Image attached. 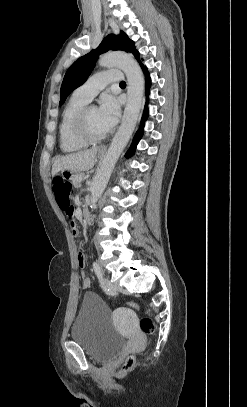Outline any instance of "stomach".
Instances as JSON below:
<instances>
[{"mask_svg": "<svg viewBox=\"0 0 247 407\" xmlns=\"http://www.w3.org/2000/svg\"><path fill=\"white\" fill-rule=\"evenodd\" d=\"M99 155H101V153H99ZM60 176L61 178H69L73 181L74 178H78L79 171L75 169L74 166H63L60 171Z\"/></svg>", "mask_w": 247, "mask_h": 407, "instance_id": "1", "label": "stomach"}]
</instances>
